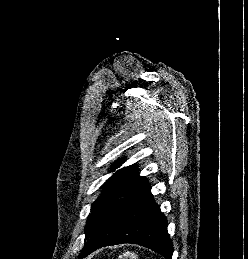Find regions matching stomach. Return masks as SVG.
Returning <instances> with one entry per match:
<instances>
[{"mask_svg":"<svg viewBox=\"0 0 248 259\" xmlns=\"http://www.w3.org/2000/svg\"><path fill=\"white\" fill-rule=\"evenodd\" d=\"M118 259H138V256L134 252L127 251L120 255Z\"/></svg>","mask_w":248,"mask_h":259,"instance_id":"stomach-1","label":"stomach"}]
</instances>
